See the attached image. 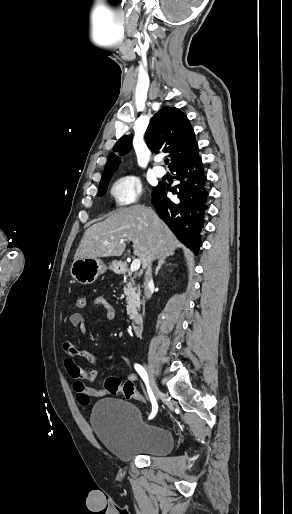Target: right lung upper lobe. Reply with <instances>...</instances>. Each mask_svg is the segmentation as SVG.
Wrapping results in <instances>:
<instances>
[{
	"label": "right lung upper lobe",
	"instance_id": "obj_1",
	"mask_svg": "<svg viewBox=\"0 0 292 514\" xmlns=\"http://www.w3.org/2000/svg\"><path fill=\"white\" fill-rule=\"evenodd\" d=\"M132 135L123 136L114 146V151L123 156L131 149ZM145 141L151 151L169 153L172 169L177 164L198 154L199 148L189 119L175 107H164L151 119L145 133ZM121 159L111 153L101 181L111 179Z\"/></svg>",
	"mask_w": 292,
	"mask_h": 514
}]
</instances>
